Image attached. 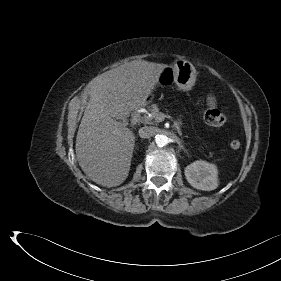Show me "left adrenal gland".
I'll return each mask as SVG.
<instances>
[{
	"label": "left adrenal gland",
	"instance_id": "a2214340",
	"mask_svg": "<svg viewBox=\"0 0 281 281\" xmlns=\"http://www.w3.org/2000/svg\"><path fill=\"white\" fill-rule=\"evenodd\" d=\"M180 149H183V150H185V149H184V147H181V146H180Z\"/></svg>",
	"mask_w": 281,
	"mask_h": 281
}]
</instances>
